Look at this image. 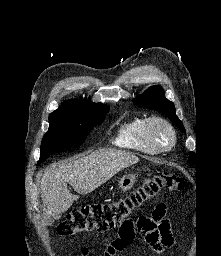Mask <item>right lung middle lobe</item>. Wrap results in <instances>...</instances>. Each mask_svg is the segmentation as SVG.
Returning a JSON list of instances; mask_svg holds the SVG:
<instances>
[{
  "mask_svg": "<svg viewBox=\"0 0 221 256\" xmlns=\"http://www.w3.org/2000/svg\"><path fill=\"white\" fill-rule=\"evenodd\" d=\"M108 110V105L90 103L75 113L50 114V127L42 140L38 164L54 151L80 146L91 129L103 122Z\"/></svg>",
  "mask_w": 221,
  "mask_h": 256,
  "instance_id": "1",
  "label": "right lung middle lobe"
}]
</instances>
